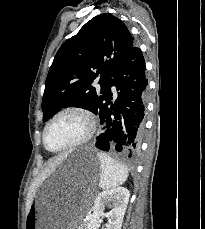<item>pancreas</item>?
Wrapping results in <instances>:
<instances>
[{"instance_id":"cf45deb5","label":"pancreas","mask_w":205,"mask_h":229,"mask_svg":"<svg viewBox=\"0 0 205 229\" xmlns=\"http://www.w3.org/2000/svg\"><path fill=\"white\" fill-rule=\"evenodd\" d=\"M81 226L83 227V226H86V222H83L82 224H81ZM82 227H81V229H82Z\"/></svg>"}]
</instances>
